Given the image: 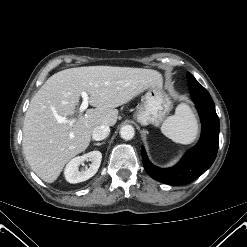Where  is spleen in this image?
I'll list each match as a JSON object with an SVG mask.
<instances>
[{"label": "spleen", "instance_id": "1", "mask_svg": "<svg viewBox=\"0 0 247 247\" xmlns=\"http://www.w3.org/2000/svg\"><path fill=\"white\" fill-rule=\"evenodd\" d=\"M162 133L172 141L184 145L195 141L198 134L197 119L185 103L177 106L175 114L169 116L161 126Z\"/></svg>", "mask_w": 247, "mask_h": 247}]
</instances>
